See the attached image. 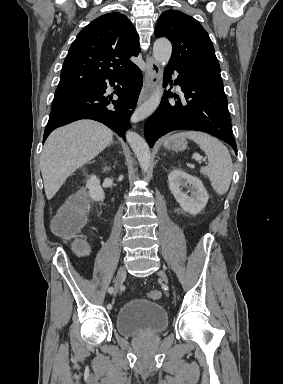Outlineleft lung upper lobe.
Wrapping results in <instances>:
<instances>
[{"mask_svg": "<svg viewBox=\"0 0 283 384\" xmlns=\"http://www.w3.org/2000/svg\"><path fill=\"white\" fill-rule=\"evenodd\" d=\"M155 36L167 37L172 43L168 66L194 76L222 81L211 39L196 19L178 10H167L158 19Z\"/></svg>", "mask_w": 283, "mask_h": 384, "instance_id": "left-lung-upper-lobe-1", "label": "left lung upper lobe"}]
</instances>
